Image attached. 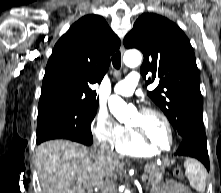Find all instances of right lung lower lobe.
<instances>
[{"label": "right lung lower lobe", "instance_id": "1", "mask_svg": "<svg viewBox=\"0 0 221 193\" xmlns=\"http://www.w3.org/2000/svg\"><path fill=\"white\" fill-rule=\"evenodd\" d=\"M92 141H93V139H91L90 141H88V143H89L88 145L92 144Z\"/></svg>", "mask_w": 221, "mask_h": 193}]
</instances>
